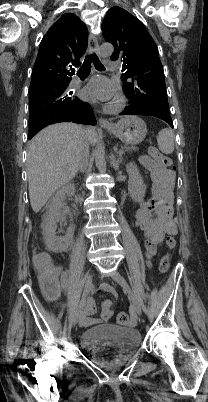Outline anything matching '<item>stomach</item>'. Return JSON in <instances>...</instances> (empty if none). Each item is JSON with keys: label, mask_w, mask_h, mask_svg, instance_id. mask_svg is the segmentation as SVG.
<instances>
[{"label": "stomach", "mask_w": 208, "mask_h": 402, "mask_svg": "<svg viewBox=\"0 0 208 402\" xmlns=\"http://www.w3.org/2000/svg\"><path fill=\"white\" fill-rule=\"evenodd\" d=\"M107 130L119 138L125 146L140 144L147 134L145 122L137 116H124L117 124H111Z\"/></svg>", "instance_id": "0dacf381"}]
</instances>
